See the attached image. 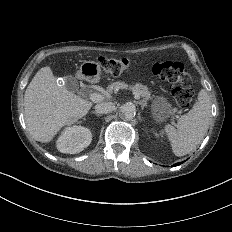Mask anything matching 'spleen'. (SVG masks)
Wrapping results in <instances>:
<instances>
[{
    "label": "spleen",
    "mask_w": 232,
    "mask_h": 232,
    "mask_svg": "<svg viewBox=\"0 0 232 232\" xmlns=\"http://www.w3.org/2000/svg\"><path fill=\"white\" fill-rule=\"evenodd\" d=\"M211 118V102L206 89H200L193 108L178 119L176 126L164 124L163 132L176 156L192 152L204 138Z\"/></svg>",
    "instance_id": "obj_1"
}]
</instances>
